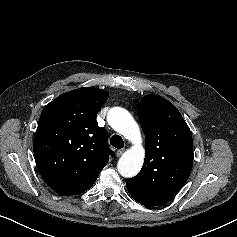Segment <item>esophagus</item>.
I'll use <instances>...</instances> for the list:
<instances>
[{
    "label": "esophagus",
    "mask_w": 237,
    "mask_h": 237,
    "mask_svg": "<svg viewBox=\"0 0 237 237\" xmlns=\"http://www.w3.org/2000/svg\"><path fill=\"white\" fill-rule=\"evenodd\" d=\"M124 152H125V149L117 150L116 152L117 157H120Z\"/></svg>",
    "instance_id": "1"
}]
</instances>
